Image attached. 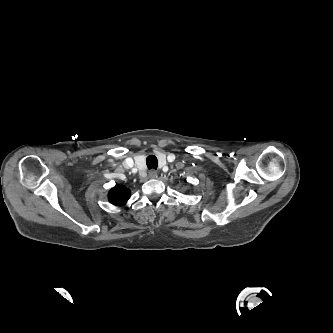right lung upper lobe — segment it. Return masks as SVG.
Instances as JSON below:
<instances>
[{
    "label": "right lung upper lobe",
    "mask_w": 333,
    "mask_h": 333,
    "mask_svg": "<svg viewBox=\"0 0 333 333\" xmlns=\"http://www.w3.org/2000/svg\"><path fill=\"white\" fill-rule=\"evenodd\" d=\"M130 198V191L120 185H116L109 191V202L116 206H123Z\"/></svg>",
    "instance_id": "right-lung-upper-lobe-1"
}]
</instances>
